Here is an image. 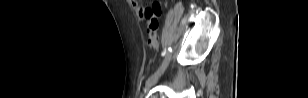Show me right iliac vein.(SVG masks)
<instances>
[{
    "label": "right iliac vein",
    "instance_id": "1",
    "mask_svg": "<svg viewBox=\"0 0 308 98\" xmlns=\"http://www.w3.org/2000/svg\"><path fill=\"white\" fill-rule=\"evenodd\" d=\"M165 59H166V63L168 64V61L170 59V54H168ZM162 72L160 74H158L155 78L151 79L149 82L146 83L145 91H148L150 89V87L152 85H154L158 81V79L161 76Z\"/></svg>",
    "mask_w": 308,
    "mask_h": 98
}]
</instances>
